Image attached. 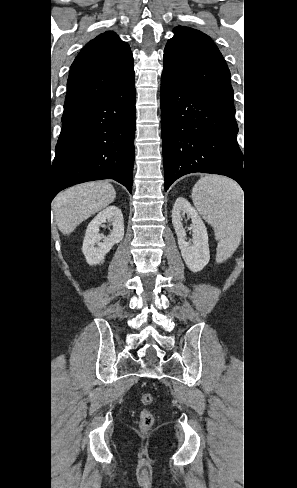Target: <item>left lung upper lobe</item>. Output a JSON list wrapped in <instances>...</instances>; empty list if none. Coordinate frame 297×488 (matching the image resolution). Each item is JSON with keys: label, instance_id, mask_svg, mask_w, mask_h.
I'll use <instances>...</instances> for the list:
<instances>
[{"label": "left lung upper lobe", "instance_id": "5c2ea615", "mask_svg": "<svg viewBox=\"0 0 297 488\" xmlns=\"http://www.w3.org/2000/svg\"><path fill=\"white\" fill-rule=\"evenodd\" d=\"M164 50V69L171 78L201 97L235 113L230 71L206 34L178 26Z\"/></svg>", "mask_w": 297, "mask_h": 488}]
</instances>
